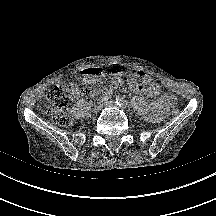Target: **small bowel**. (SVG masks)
Masks as SVG:
<instances>
[{"label":"small bowel","instance_id":"c3829d8e","mask_svg":"<svg viewBox=\"0 0 216 216\" xmlns=\"http://www.w3.org/2000/svg\"><path fill=\"white\" fill-rule=\"evenodd\" d=\"M124 81H126L128 87L132 91L144 94L154 99L149 115L151 121H159L175 99L172 94H162L160 92L159 85L151 77L144 73L137 74L135 72H129L126 80H124L121 76H117L115 78L116 83H122ZM91 93L92 91L89 89H79L75 95V98Z\"/></svg>","mask_w":216,"mask_h":216}]
</instances>
